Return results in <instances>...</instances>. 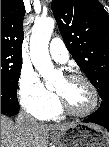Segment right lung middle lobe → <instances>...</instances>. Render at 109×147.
Returning a JSON list of instances; mask_svg holds the SVG:
<instances>
[{
    "mask_svg": "<svg viewBox=\"0 0 109 147\" xmlns=\"http://www.w3.org/2000/svg\"><path fill=\"white\" fill-rule=\"evenodd\" d=\"M22 55L1 49V89L16 94Z\"/></svg>",
    "mask_w": 109,
    "mask_h": 147,
    "instance_id": "obj_1",
    "label": "right lung middle lobe"
}]
</instances>
